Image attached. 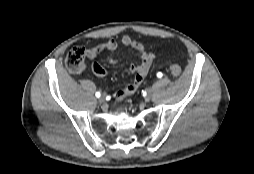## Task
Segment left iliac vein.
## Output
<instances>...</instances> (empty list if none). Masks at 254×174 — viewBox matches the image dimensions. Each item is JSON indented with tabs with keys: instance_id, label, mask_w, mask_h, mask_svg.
Listing matches in <instances>:
<instances>
[{
	"instance_id": "left-iliac-vein-1",
	"label": "left iliac vein",
	"mask_w": 254,
	"mask_h": 174,
	"mask_svg": "<svg viewBox=\"0 0 254 174\" xmlns=\"http://www.w3.org/2000/svg\"><path fill=\"white\" fill-rule=\"evenodd\" d=\"M152 96H153V89L150 88V89L147 90V95L145 96V100L146 101L151 100Z\"/></svg>"
}]
</instances>
